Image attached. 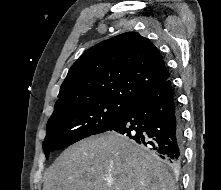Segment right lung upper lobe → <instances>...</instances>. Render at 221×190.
<instances>
[{
  "label": "right lung upper lobe",
  "instance_id": "right-lung-upper-lobe-1",
  "mask_svg": "<svg viewBox=\"0 0 221 190\" xmlns=\"http://www.w3.org/2000/svg\"><path fill=\"white\" fill-rule=\"evenodd\" d=\"M169 77L156 46L136 32H126L81 55L61 85L54 110L102 99L130 103Z\"/></svg>",
  "mask_w": 221,
  "mask_h": 190
}]
</instances>
